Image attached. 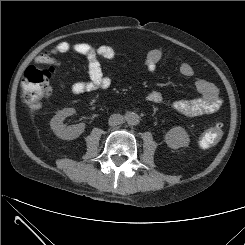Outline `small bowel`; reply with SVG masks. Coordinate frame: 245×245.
<instances>
[{
    "instance_id": "c3829d8e",
    "label": "small bowel",
    "mask_w": 245,
    "mask_h": 245,
    "mask_svg": "<svg viewBox=\"0 0 245 245\" xmlns=\"http://www.w3.org/2000/svg\"><path fill=\"white\" fill-rule=\"evenodd\" d=\"M74 53L86 58L89 79L84 82H77L69 85L68 88L73 94H82L96 89H106L111 86V79L102 71L101 59L111 60L115 57V50L108 45L92 46L87 43H71L63 41L54 46L51 50L40 53L35 62L37 64H48L60 67L57 56L60 54ZM163 58L160 49L150 50L145 57V65L148 71L153 72ZM179 72L186 78L194 75L193 67L183 62L179 65ZM65 87V84H61ZM199 97L192 100H180L171 104V109L185 117H192L201 114L213 113L222 105V99L217 87L208 80L198 79L195 82ZM148 100L152 103H160L162 96L158 92H151Z\"/></svg>"
}]
</instances>
